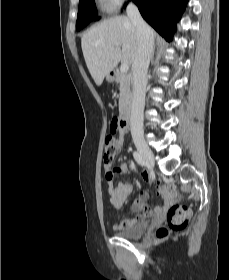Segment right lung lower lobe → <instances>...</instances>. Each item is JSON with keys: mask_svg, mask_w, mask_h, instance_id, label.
Instances as JSON below:
<instances>
[{"mask_svg": "<svg viewBox=\"0 0 229 280\" xmlns=\"http://www.w3.org/2000/svg\"><path fill=\"white\" fill-rule=\"evenodd\" d=\"M142 17L166 40H171L187 0H133Z\"/></svg>", "mask_w": 229, "mask_h": 280, "instance_id": "right-lung-lower-lobe-1", "label": "right lung lower lobe"}]
</instances>
